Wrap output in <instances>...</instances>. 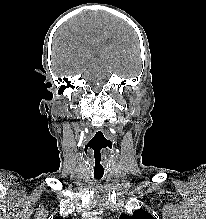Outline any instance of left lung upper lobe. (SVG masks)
Wrapping results in <instances>:
<instances>
[{"label":"left lung upper lobe","mask_w":206,"mask_h":219,"mask_svg":"<svg viewBox=\"0 0 206 219\" xmlns=\"http://www.w3.org/2000/svg\"><path fill=\"white\" fill-rule=\"evenodd\" d=\"M119 219H154V217L145 210L139 209L133 212V215L121 214Z\"/></svg>","instance_id":"1"}]
</instances>
